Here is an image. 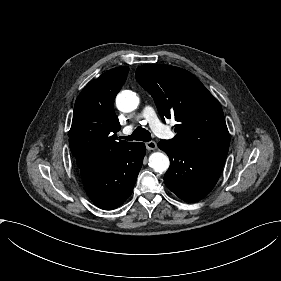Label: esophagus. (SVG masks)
<instances>
[{
  "instance_id": "obj_1",
  "label": "esophagus",
  "mask_w": 281,
  "mask_h": 281,
  "mask_svg": "<svg viewBox=\"0 0 281 281\" xmlns=\"http://www.w3.org/2000/svg\"><path fill=\"white\" fill-rule=\"evenodd\" d=\"M145 146L148 150H155L157 148V144L154 141H149L145 143Z\"/></svg>"
}]
</instances>
